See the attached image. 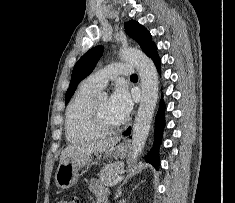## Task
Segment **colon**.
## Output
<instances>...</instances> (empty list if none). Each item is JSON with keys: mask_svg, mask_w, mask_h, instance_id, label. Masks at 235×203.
Here are the masks:
<instances>
[{"mask_svg": "<svg viewBox=\"0 0 235 203\" xmlns=\"http://www.w3.org/2000/svg\"><path fill=\"white\" fill-rule=\"evenodd\" d=\"M57 203H80V201L76 196L65 195Z\"/></svg>", "mask_w": 235, "mask_h": 203, "instance_id": "colon-1", "label": "colon"}]
</instances>
